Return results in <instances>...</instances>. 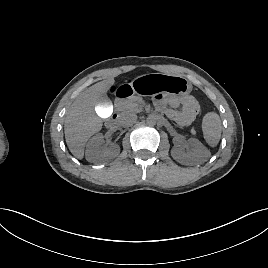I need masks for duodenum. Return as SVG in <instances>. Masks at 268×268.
<instances>
[{"mask_svg": "<svg viewBox=\"0 0 268 268\" xmlns=\"http://www.w3.org/2000/svg\"><path fill=\"white\" fill-rule=\"evenodd\" d=\"M128 96V92L124 91V90H120L117 94H116V103L119 104L123 99H125ZM118 113H114L109 119H108V123L109 125H114L117 120H118Z\"/></svg>", "mask_w": 268, "mask_h": 268, "instance_id": "410a0bca", "label": "duodenum"}]
</instances>
